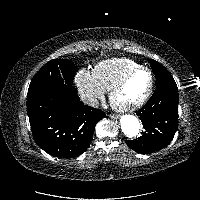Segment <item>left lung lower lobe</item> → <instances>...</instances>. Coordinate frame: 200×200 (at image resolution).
Masks as SVG:
<instances>
[{
    "label": "left lung lower lobe",
    "mask_w": 200,
    "mask_h": 200,
    "mask_svg": "<svg viewBox=\"0 0 200 200\" xmlns=\"http://www.w3.org/2000/svg\"><path fill=\"white\" fill-rule=\"evenodd\" d=\"M144 131L142 136L126 141L129 148L139 153H152L166 147L178 128L177 85H161L140 110Z\"/></svg>",
    "instance_id": "obj_1"
}]
</instances>
